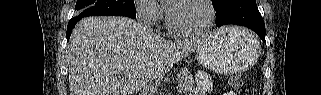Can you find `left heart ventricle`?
Masks as SVG:
<instances>
[{
	"label": "left heart ventricle",
	"mask_w": 321,
	"mask_h": 95,
	"mask_svg": "<svg viewBox=\"0 0 321 95\" xmlns=\"http://www.w3.org/2000/svg\"><path fill=\"white\" fill-rule=\"evenodd\" d=\"M173 25L180 30L201 29L208 20L206 6L200 1H186L171 8Z\"/></svg>",
	"instance_id": "obj_1"
}]
</instances>
